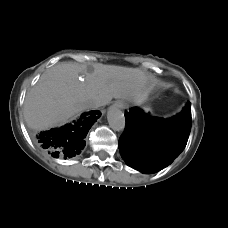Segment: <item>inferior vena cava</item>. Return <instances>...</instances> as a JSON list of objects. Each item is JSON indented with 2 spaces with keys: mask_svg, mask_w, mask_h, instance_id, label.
Segmentation results:
<instances>
[{
  "mask_svg": "<svg viewBox=\"0 0 228 228\" xmlns=\"http://www.w3.org/2000/svg\"><path fill=\"white\" fill-rule=\"evenodd\" d=\"M98 106L99 105L95 101H87L86 102V107L89 109L98 108Z\"/></svg>",
  "mask_w": 228,
  "mask_h": 228,
  "instance_id": "602c4592",
  "label": "inferior vena cava"
}]
</instances>
